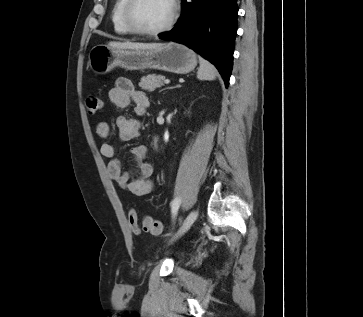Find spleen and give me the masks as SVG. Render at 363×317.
I'll return each mask as SVG.
<instances>
[{"label": "spleen", "mask_w": 363, "mask_h": 317, "mask_svg": "<svg viewBox=\"0 0 363 317\" xmlns=\"http://www.w3.org/2000/svg\"><path fill=\"white\" fill-rule=\"evenodd\" d=\"M200 67L197 72L199 80H214L217 75L216 68L207 60L199 57Z\"/></svg>", "instance_id": "1"}]
</instances>
